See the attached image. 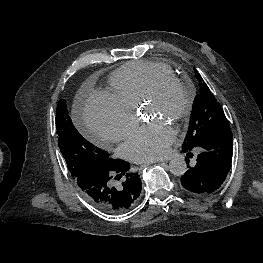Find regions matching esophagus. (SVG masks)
Listing matches in <instances>:
<instances>
[{"label":"esophagus","instance_id":"esophagus-1","mask_svg":"<svg viewBox=\"0 0 263 263\" xmlns=\"http://www.w3.org/2000/svg\"><path fill=\"white\" fill-rule=\"evenodd\" d=\"M152 163H155V162H147V163H144V164L141 165V167H142V168H143V167H146V166H148V165H151Z\"/></svg>","mask_w":263,"mask_h":263}]
</instances>
